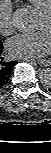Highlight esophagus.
Returning <instances> with one entry per match:
<instances>
[{
    "instance_id": "obj_1",
    "label": "esophagus",
    "mask_w": 51,
    "mask_h": 153,
    "mask_svg": "<svg viewBox=\"0 0 51 153\" xmlns=\"http://www.w3.org/2000/svg\"><path fill=\"white\" fill-rule=\"evenodd\" d=\"M37 63H38V65L43 66V67H47L51 64L50 61L46 60V59L38 60Z\"/></svg>"
}]
</instances>
